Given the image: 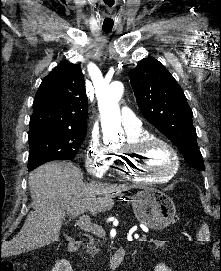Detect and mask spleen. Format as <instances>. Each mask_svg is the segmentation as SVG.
<instances>
[{
    "mask_svg": "<svg viewBox=\"0 0 221 271\" xmlns=\"http://www.w3.org/2000/svg\"><path fill=\"white\" fill-rule=\"evenodd\" d=\"M197 235H198V241H207V239H209L210 235H209V227L207 223H204V225H202Z\"/></svg>",
    "mask_w": 221,
    "mask_h": 271,
    "instance_id": "1",
    "label": "spleen"
}]
</instances>
